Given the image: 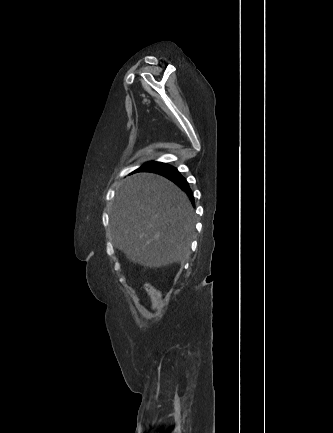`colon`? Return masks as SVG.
I'll return each mask as SVG.
<instances>
[{
  "mask_svg": "<svg viewBox=\"0 0 333 433\" xmlns=\"http://www.w3.org/2000/svg\"><path fill=\"white\" fill-rule=\"evenodd\" d=\"M146 290L148 294L151 296L154 302V306L158 308L161 305L162 299L158 291H156L152 286L147 285Z\"/></svg>",
  "mask_w": 333,
  "mask_h": 433,
  "instance_id": "5ec220e1",
  "label": "colon"
}]
</instances>
